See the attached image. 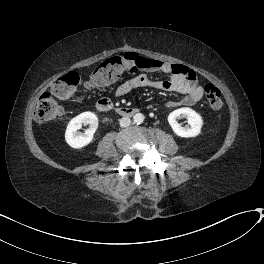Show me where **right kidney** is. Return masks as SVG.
<instances>
[{
	"label": "right kidney",
	"instance_id": "right-kidney-1",
	"mask_svg": "<svg viewBox=\"0 0 264 264\" xmlns=\"http://www.w3.org/2000/svg\"><path fill=\"white\" fill-rule=\"evenodd\" d=\"M82 124H89V128L84 132H78ZM98 128V118L93 112H83L71 119L68 123L65 140L72 148H82L87 146L93 139V135Z\"/></svg>",
	"mask_w": 264,
	"mask_h": 264
}]
</instances>
